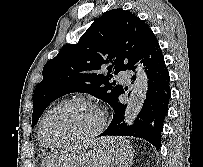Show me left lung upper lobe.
Wrapping results in <instances>:
<instances>
[{"label":"left lung upper lobe","instance_id":"1","mask_svg":"<svg viewBox=\"0 0 203 167\" xmlns=\"http://www.w3.org/2000/svg\"><path fill=\"white\" fill-rule=\"evenodd\" d=\"M154 39L148 25L132 12L104 13L77 44L65 45L45 64L43 80L34 91L32 127L51 102L72 92L89 93L113 108L124 88L111 79L130 69ZM106 66L108 74L101 73Z\"/></svg>","mask_w":203,"mask_h":167}]
</instances>
